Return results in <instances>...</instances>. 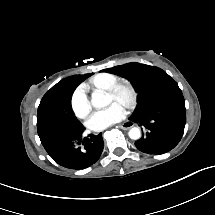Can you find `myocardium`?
Masks as SVG:
<instances>
[{"instance_id": "f54148a6", "label": "myocardium", "mask_w": 215, "mask_h": 215, "mask_svg": "<svg viewBox=\"0 0 215 215\" xmlns=\"http://www.w3.org/2000/svg\"><path fill=\"white\" fill-rule=\"evenodd\" d=\"M124 101H127V97L124 99Z\"/></svg>"}]
</instances>
